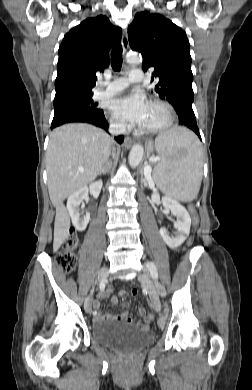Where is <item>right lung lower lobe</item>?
Returning <instances> with one entry per match:
<instances>
[{
    "mask_svg": "<svg viewBox=\"0 0 252 390\" xmlns=\"http://www.w3.org/2000/svg\"><path fill=\"white\" fill-rule=\"evenodd\" d=\"M70 122L90 123L108 130V123L103 112L96 113L80 109H64L55 111L51 128L53 129L61 124ZM115 139L118 143L123 142L122 135L115 137Z\"/></svg>",
    "mask_w": 252,
    "mask_h": 390,
    "instance_id": "1",
    "label": "right lung lower lobe"
}]
</instances>
